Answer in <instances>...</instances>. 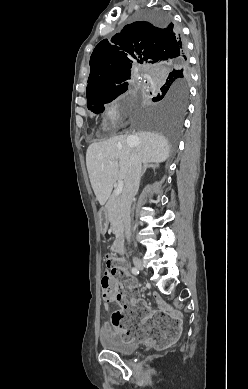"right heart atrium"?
Instances as JSON below:
<instances>
[{
	"label": "right heart atrium",
	"instance_id": "obj_1",
	"mask_svg": "<svg viewBox=\"0 0 248 389\" xmlns=\"http://www.w3.org/2000/svg\"><path fill=\"white\" fill-rule=\"evenodd\" d=\"M101 115L110 129L117 127L120 120V100L117 97L107 100L102 107Z\"/></svg>",
	"mask_w": 248,
	"mask_h": 389
}]
</instances>
